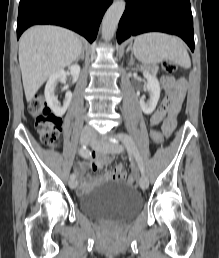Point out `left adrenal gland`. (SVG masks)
I'll list each match as a JSON object with an SVG mask.
<instances>
[{"label":"left adrenal gland","mask_w":219,"mask_h":258,"mask_svg":"<svg viewBox=\"0 0 219 258\" xmlns=\"http://www.w3.org/2000/svg\"><path fill=\"white\" fill-rule=\"evenodd\" d=\"M131 49H132V45H130V46L128 47V49H127L126 52L130 51ZM131 60H132V55H131Z\"/></svg>","instance_id":"obj_1"}]
</instances>
